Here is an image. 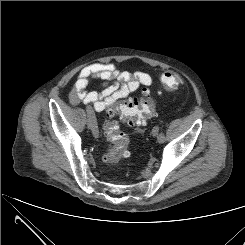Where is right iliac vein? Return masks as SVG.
I'll use <instances>...</instances> for the list:
<instances>
[{
    "label": "right iliac vein",
    "mask_w": 245,
    "mask_h": 245,
    "mask_svg": "<svg viewBox=\"0 0 245 245\" xmlns=\"http://www.w3.org/2000/svg\"><path fill=\"white\" fill-rule=\"evenodd\" d=\"M88 107H90V106H88ZM87 127H88L89 129H93V128H92V121H91V119H90L89 117L87 118ZM93 135H94L95 137L98 136L96 133H93Z\"/></svg>",
    "instance_id": "1"
}]
</instances>
